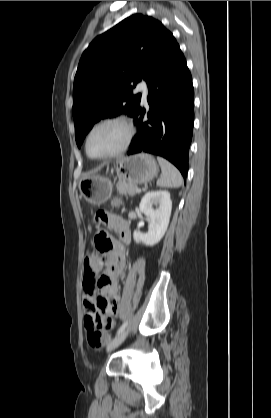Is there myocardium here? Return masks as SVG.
<instances>
[{
	"mask_svg": "<svg viewBox=\"0 0 271 418\" xmlns=\"http://www.w3.org/2000/svg\"><path fill=\"white\" fill-rule=\"evenodd\" d=\"M107 124H117V125L121 126L124 129V132H125V139H124L122 145L118 149H116L115 151L110 152L106 155H102V156H93L89 152L90 137L96 129H98L101 126L107 125ZM133 136H134L133 126L131 125V123L127 119H125L124 117H121V116L105 117V118L97 121L95 124H93L92 127L87 132L86 137H85V142H84L86 155L89 158L94 159V160H106V159H110V158H114L116 156H119V155H121V154H123L124 152L127 151V149L129 148V146L132 142Z\"/></svg>",
	"mask_w": 271,
	"mask_h": 418,
	"instance_id": "myocardium-1",
	"label": "myocardium"
}]
</instances>
